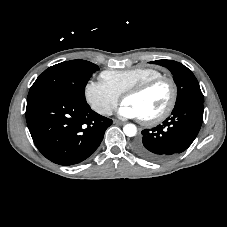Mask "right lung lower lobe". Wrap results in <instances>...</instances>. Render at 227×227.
Here are the masks:
<instances>
[{
  "label": "right lung lower lobe",
  "mask_w": 227,
  "mask_h": 227,
  "mask_svg": "<svg viewBox=\"0 0 227 227\" xmlns=\"http://www.w3.org/2000/svg\"><path fill=\"white\" fill-rule=\"evenodd\" d=\"M26 121L38 150L50 161L66 166L88 158L112 124L86 102L56 95L27 100Z\"/></svg>",
  "instance_id": "1"
}]
</instances>
